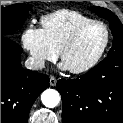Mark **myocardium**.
<instances>
[{
  "instance_id": "myocardium-1",
  "label": "myocardium",
  "mask_w": 123,
  "mask_h": 123,
  "mask_svg": "<svg viewBox=\"0 0 123 123\" xmlns=\"http://www.w3.org/2000/svg\"><path fill=\"white\" fill-rule=\"evenodd\" d=\"M94 25H99V26L103 27L105 34H106L105 42H104L102 48L100 49L99 53L87 65L80 67V68H67L73 74H83V73H86V72L90 71L91 69H93L100 62V60L103 58L104 54L106 53V51L108 49L110 39H111V33H110L108 26L102 21L93 20V21H90V22L80 26L79 28H77L73 32V34L68 38V40L63 44V46L61 47V49L59 51V56H60L62 63H64L65 55L76 44V42L79 39V37L81 36V34L85 30H87L88 28H90Z\"/></svg>"
}]
</instances>
